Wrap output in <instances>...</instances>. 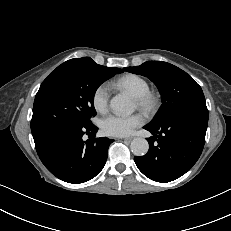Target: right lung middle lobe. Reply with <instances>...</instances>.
<instances>
[{
	"label": "right lung middle lobe",
	"instance_id": "1",
	"mask_svg": "<svg viewBox=\"0 0 231 231\" xmlns=\"http://www.w3.org/2000/svg\"><path fill=\"white\" fill-rule=\"evenodd\" d=\"M122 69L94 61L63 63L41 84L33 105L31 131L36 142L49 141L62 130L92 124L97 88Z\"/></svg>",
	"mask_w": 231,
	"mask_h": 231
}]
</instances>
